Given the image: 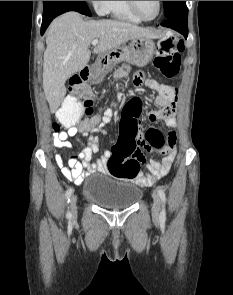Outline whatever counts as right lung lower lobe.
Returning a JSON list of instances; mask_svg holds the SVG:
<instances>
[{
    "label": "right lung lower lobe",
    "mask_w": 233,
    "mask_h": 295,
    "mask_svg": "<svg viewBox=\"0 0 233 295\" xmlns=\"http://www.w3.org/2000/svg\"><path fill=\"white\" fill-rule=\"evenodd\" d=\"M68 11H77L84 15L91 16L85 1H53L44 3L41 34H44L45 30L55 17Z\"/></svg>",
    "instance_id": "1"
}]
</instances>
